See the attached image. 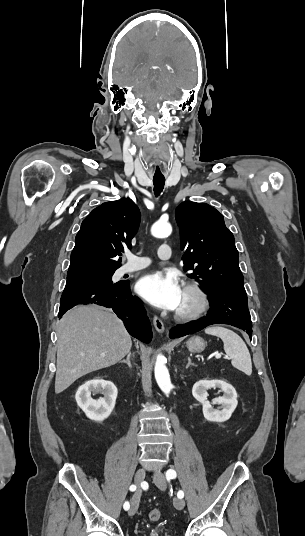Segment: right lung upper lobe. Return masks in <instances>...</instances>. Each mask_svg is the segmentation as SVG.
<instances>
[{"label": "right lung upper lobe", "instance_id": "cb5924a9", "mask_svg": "<svg viewBox=\"0 0 305 536\" xmlns=\"http://www.w3.org/2000/svg\"><path fill=\"white\" fill-rule=\"evenodd\" d=\"M140 223L138 207L129 198L106 202L84 219L75 238L67 278L116 270L124 248Z\"/></svg>", "mask_w": 305, "mask_h": 536}]
</instances>
